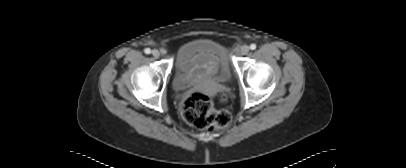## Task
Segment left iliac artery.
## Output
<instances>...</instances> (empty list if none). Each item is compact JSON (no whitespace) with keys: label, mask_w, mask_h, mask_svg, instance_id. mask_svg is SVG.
<instances>
[{"label":"left iliac artery","mask_w":406,"mask_h":168,"mask_svg":"<svg viewBox=\"0 0 406 168\" xmlns=\"http://www.w3.org/2000/svg\"><path fill=\"white\" fill-rule=\"evenodd\" d=\"M250 49H251V50H255V49H256V45H255V44H251V45H250Z\"/></svg>","instance_id":"left-iliac-artery-1"}]
</instances>
